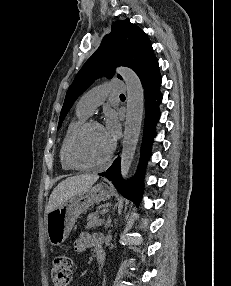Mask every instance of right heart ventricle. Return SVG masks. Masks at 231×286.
<instances>
[{
    "instance_id": "1",
    "label": "right heart ventricle",
    "mask_w": 231,
    "mask_h": 286,
    "mask_svg": "<svg viewBox=\"0 0 231 286\" xmlns=\"http://www.w3.org/2000/svg\"><path fill=\"white\" fill-rule=\"evenodd\" d=\"M87 118H88V115L77 110L75 117L70 121V123L68 124V126L66 128V131L64 133V136L62 138L60 148H59V161H60L61 167L64 170H67V171L75 170V168L69 164V162L67 161V158H66L67 143H68V140H69L70 136L72 135V133L83 122H85L87 120Z\"/></svg>"
}]
</instances>
